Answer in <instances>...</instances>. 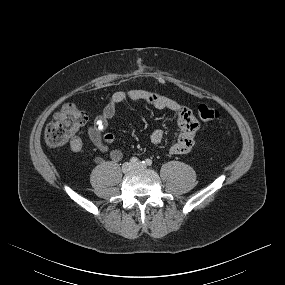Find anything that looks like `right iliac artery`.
<instances>
[{"label":"right iliac artery","mask_w":285,"mask_h":285,"mask_svg":"<svg viewBox=\"0 0 285 285\" xmlns=\"http://www.w3.org/2000/svg\"><path fill=\"white\" fill-rule=\"evenodd\" d=\"M138 162H139V160H138L137 157H132V158L130 159V163H131V164H137Z\"/></svg>","instance_id":"obj_1"}]
</instances>
